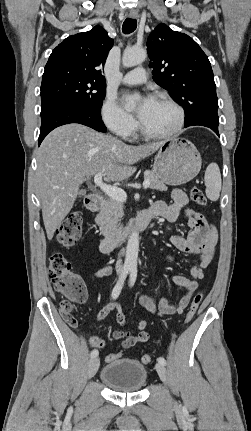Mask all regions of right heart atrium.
Returning a JSON list of instances; mask_svg holds the SVG:
<instances>
[{
	"label": "right heart atrium",
	"mask_w": 251,
	"mask_h": 431,
	"mask_svg": "<svg viewBox=\"0 0 251 431\" xmlns=\"http://www.w3.org/2000/svg\"><path fill=\"white\" fill-rule=\"evenodd\" d=\"M104 124L121 137L129 138L136 130L137 124L132 115L126 112L113 97H106L101 108Z\"/></svg>",
	"instance_id": "obj_1"
}]
</instances>
